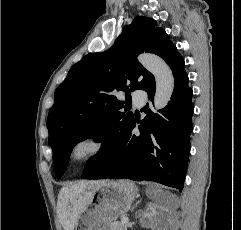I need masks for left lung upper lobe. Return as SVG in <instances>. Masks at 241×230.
<instances>
[{
  "mask_svg": "<svg viewBox=\"0 0 241 230\" xmlns=\"http://www.w3.org/2000/svg\"><path fill=\"white\" fill-rule=\"evenodd\" d=\"M155 26L154 19L138 16L109 50L88 54L72 66L56 89L47 128L57 177L64 174L78 142L94 138L106 144L134 120L133 113L121 111H127L131 91L155 82L137 55L154 53L169 65L179 54L165 30ZM117 92H125V102L117 100Z\"/></svg>",
  "mask_w": 241,
  "mask_h": 230,
  "instance_id": "left-lung-upper-lobe-1",
  "label": "left lung upper lobe"
}]
</instances>
